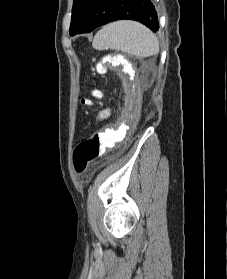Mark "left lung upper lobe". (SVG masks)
<instances>
[{
  "label": "left lung upper lobe",
  "instance_id": "1",
  "mask_svg": "<svg viewBox=\"0 0 227 279\" xmlns=\"http://www.w3.org/2000/svg\"><path fill=\"white\" fill-rule=\"evenodd\" d=\"M93 0H74L72 9V19L70 25V35L80 30L85 16Z\"/></svg>",
  "mask_w": 227,
  "mask_h": 279
}]
</instances>
